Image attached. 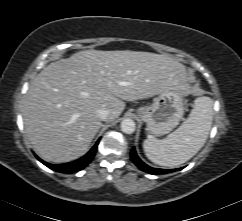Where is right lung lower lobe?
<instances>
[{"instance_id":"98d812e1","label":"right lung lower lobe","mask_w":242,"mask_h":221,"mask_svg":"<svg viewBox=\"0 0 242 221\" xmlns=\"http://www.w3.org/2000/svg\"><path fill=\"white\" fill-rule=\"evenodd\" d=\"M98 143H99V141L96 142V144L93 146V148L85 156H83L82 158H80L74 162H71V163L53 165V164L44 162L39 157H37V159L54 171L63 172V173L76 172V171L84 169L92 161V159L96 153Z\"/></svg>"}]
</instances>
